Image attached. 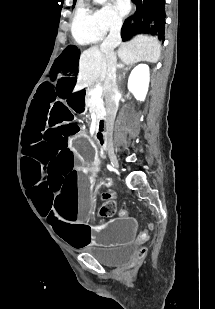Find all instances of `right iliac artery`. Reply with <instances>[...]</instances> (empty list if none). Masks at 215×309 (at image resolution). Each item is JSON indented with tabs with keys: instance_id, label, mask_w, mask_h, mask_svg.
Listing matches in <instances>:
<instances>
[{
	"instance_id": "82829eb1",
	"label": "right iliac artery",
	"mask_w": 215,
	"mask_h": 309,
	"mask_svg": "<svg viewBox=\"0 0 215 309\" xmlns=\"http://www.w3.org/2000/svg\"><path fill=\"white\" fill-rule=\"evenodd\" d=\"M107 168L110 170V171H113V168H112V166H110V165H107Z\"/></svg>"
}]
</instances>
